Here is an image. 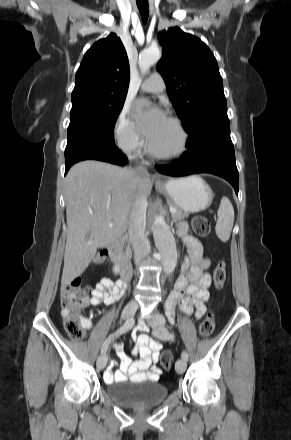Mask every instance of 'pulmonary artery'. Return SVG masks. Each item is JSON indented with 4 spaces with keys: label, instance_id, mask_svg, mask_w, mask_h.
Returning a JSON list of instances; mask_svg holds the SVG:
<instances>
[{
    "label": "pulmonary artery",
    "instance_id": "pulmonary-artery-1",
    "mask_svg": "<svg viewBox=\"0 0 291 440\" xmlns=\"http://www.w3.org/2000/svg\"><path fill=\"white\" fill-rule=\"evenodd\" d=\"M164 87H165V81L163 77L158 73L152 74L141 85V89L149 93L161 92L164 90Z\"/></svg>",
    "mask_w": 291,
    "mask_h": 440
}]
</instances>
